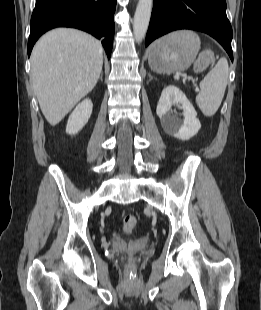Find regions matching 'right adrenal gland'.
I'll use <instances>...</instances> for the list:
<instances>
[{
    "instance_id": "2a0ac1e0",
    "label": "right adrenal gland",
    "mask_w": 261,
    "mask_h": 310,
    "mask_svg": "<svg viewBox=\"0 0 261 310\" xmlns=\"http://www.w3.org/2000/svg\"><path fill=\"white\" fill-rule=\"evenodd\" d=\"M100 80H102V73H101V76H100Z\"/></svg>"
}]
</instances>
